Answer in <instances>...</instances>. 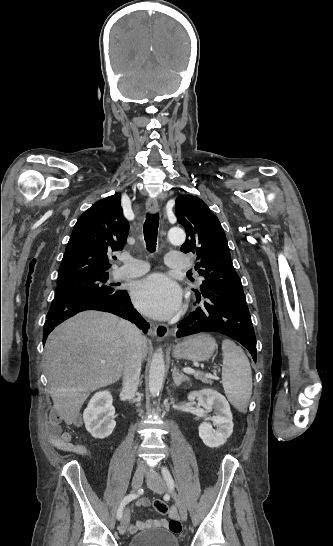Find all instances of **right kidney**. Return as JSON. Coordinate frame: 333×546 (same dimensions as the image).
I'll list each match as a JSON object with an SVG mask.
<instances>
[{
	"instance_id": "right-kidney-1",
	"label": "right kidney",
	"mask_w": 333,
	"mask_h": 546,
	"mask_svg": "<svg viewBox=\"0 0 333 546\" xmlns=\"http://www.w3.org/2000/svg\"><path fill=\"white\" fill-rule=\"evenodd\" d=\"M109 391H99L90 399L83 413L86 430L97 439L108 437L114 430L115 408Z\"/></svg>"
}]
</instances>
